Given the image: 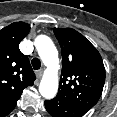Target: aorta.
<instances>
[{"instance_id": "aorta-1", "label": "aorta", "mask_w": 117, "mask_h": 117, "mask_svg": "<svg viewBox=\"0 0 117 117\" xmlns=\"http://www.w3.org/2000/svg\"><path fill=\"white\" fill-rule=\"evenodd\" d=\"M38 54L47 69L39 85L40 94L46 99L55 97L58 91V51L50 37L39 35L34 41Z\"/></svg>"}]
</instances>
